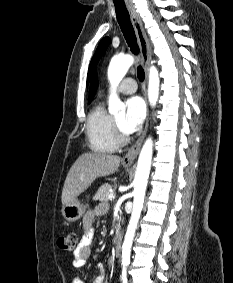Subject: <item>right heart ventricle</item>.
Instances as JSON below:
<instances>
[{
	"mask_svg": "<svg viewBox=\"0 0 233 283\" xmlns=\"http://www.w3.org/2000/svg\"><path fill=\"white\" fill-rule=\"evenodd\" d=\"M86 136L90 149L96 153L105 154L117 150L113 117L106 111L103 103L97 104L89 113Z\"/></svg>",
	"mask_w": 233,
	"mask_h": 283,
	"instance_id": "obj_1",
	"label": "right heart ventricle"
}]
</instances>
